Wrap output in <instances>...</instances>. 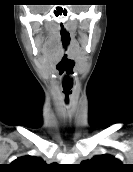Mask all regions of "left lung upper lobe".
<instances>
[{"mask_svg":"<svg viewBox=\"0 0 133 172\" xmlns=\"http://www.w3.org/2000/svg\"><path fill=\"white\" fill-rule=\"evenodd\" d=\"M89 172H114L121 168L122 163L115 157L105 154L94 156L91 160L82 162Z\"/></svg>","mask_w":133,"mask_h":172,"instance_id":"left-lung-upper-lobe-1","label":"left lung upper lobe"}]
</instances>
